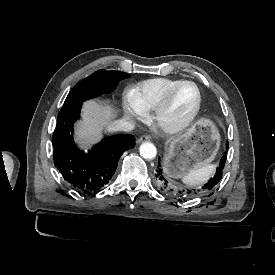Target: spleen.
Here are the masks:
<instances>
[{
  "instance_id": "obj_1",
  "label": "spleen",
  "mask_w": 275,
  "mask_h": 275,
  "mask_svg": "<svg viewBox=\"0 0 275 275\" xmlns=\"http://www.w3.org/2000/svg\"><path fill=\"white\" fill-rule=\"evenodd\" d=\"M214 172V165H205L199 169L190 170L189 173L184 176L183 182L191 186L200 183H205L207 179L214 174Z\"/></svg>"
}]
</instances>
